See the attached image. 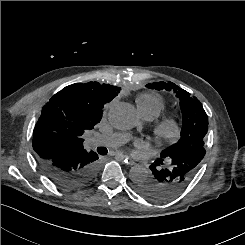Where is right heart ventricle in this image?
Wrapping results in <instances>:
<instances>
[{"mask_svg": "<svg viewBox=\"0 0 245 245\" xmlns=\"http://www.w3.org/2000/svg\"><path fill=\"white\" fill-rule=\"evenodd\" d=\"M137 109L142 117H158L165 109L164 98L155 93H143L136 99Z\"/></svg>", "mask_w": 245, "mask_h": 245, "instance_id": "e07e8e85", "label": "right heart ventricle"}]
</instances>
